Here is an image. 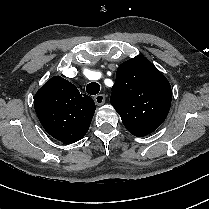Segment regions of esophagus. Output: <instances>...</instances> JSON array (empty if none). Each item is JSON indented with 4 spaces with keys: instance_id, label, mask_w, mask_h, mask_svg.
<instances>
[{
    "instance_id": "obj_1",
    "label": "esophagus",
    "mask_w": 209,
    "mask_h": 209,
    "mask_svg": "<svg viewBox=\"0 0 209 209\" xmlns=\"http://www.w3.org/2000/svg\"><path fill=\"white\" fill-rule=\"evenodd\" d=\"M105 100H106V96L104 94H98L94 97V101L97 105L104 104Z\"/></svg>"
}]
</instances>
